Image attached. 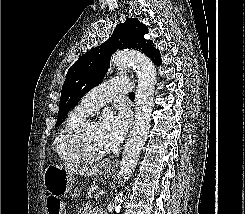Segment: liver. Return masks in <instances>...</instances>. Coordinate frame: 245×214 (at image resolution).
Instances as JSON below:
<instances>
[{
  "label": "liver",
  "mask_w": 245,
  "mask_h": 214,
  "mask_svg": "<svg viewBox=\"0 0 245 214\" xmlns=\"http://www.w3.org/2000/svg\"><path fill=\"white\" fill-rule=\"evenodd\" d=\"M65 169L69 170L70 172H75L79 175L83 176H94L99 173V169L95 167H82V168H77L73 167L71 165H65Z\"/></svg>",
  "instance_id": "1"
}]
</instances>
